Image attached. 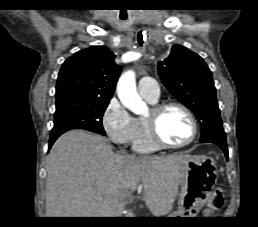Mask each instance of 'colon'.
<instances>
[{
  "instance_id": "colon-1",
  "label": "colon",
  "mask_w": 258,
  "mask_h": 227,
  "mask_svg": "<svg viewBox=\"0 0 258 227\" xmlns=\"http://www.w3.org/2000/svg\"><path fill=\"white\" fill-rule=\"evenodd\" d=\"M224 206V196L222 188H217L213 195L211 196L209 202V209L211 210H220Z\"/></svg>"
}]
</instances>
